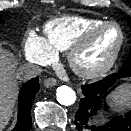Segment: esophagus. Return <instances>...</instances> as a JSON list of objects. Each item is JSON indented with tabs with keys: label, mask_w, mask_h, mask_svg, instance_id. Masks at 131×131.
<instances>
[{
	"label": "esophagus",
	"mask_w": 131,
	"mask_h": 131,
	"mask_svg": "<svg viewBox=\"0 0 131 131\" xmlns=\"http://www.w3.org/2000/svg\"><path fill=\"white\" fill-rule=\"evenodd\" d=\"M57 85V80L55 78H47L44 80V86L49 88Z\"/></svg>",
	"instance_id": "obj_1"
}]
</instances>
